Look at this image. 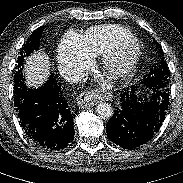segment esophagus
I'll return each mask as SVG.
<instances>
[{
	"instance_id": "1",
	"label": "esophagus",
	"mask_w": 183,
	"mask_h": 183,
	"mask_svg": "<svg viewBox=\"0 0 183 183\" xmlns=\"http://www.w3.org/2000/svg\"><path fill=\"white\" fill-rule=\"evenodd\" d=\"M111 98L112 93L96 89L81 93L77 98V104L80 108L88 109L100 101H108L111 100Z\"/></svg>"
}]
</instances>
